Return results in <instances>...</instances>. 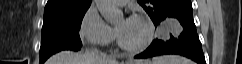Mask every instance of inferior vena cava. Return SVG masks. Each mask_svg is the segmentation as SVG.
<instances>
[{"label":"inferior vena cava","instance_id":"inferior-vena-cava-1","mask_svg":"<svg viewBox=\"0 0 242 64\" xmlns=\"http://www.w3.org/2000/svg\"><path fill=\"white\" fill-rule=\"evenodd\" d=\"M100 58H101L102 60H109L108 55L105 54V53H101V54H100Z\"/></svg>","mask_w":242,"mask_h":64}]
</instances>
